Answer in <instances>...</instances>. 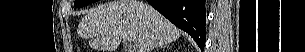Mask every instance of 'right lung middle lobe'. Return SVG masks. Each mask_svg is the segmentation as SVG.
Returning <instances> with one entry per match:
<instances>
[{
	"label": "right lung middle lobe",
	"mask_w": 305,
	"mask_h": 52,
	"mask_svg": "<svg viewBox=\"0 0 305 52\" xmlns=\"http://www.w3.org/2000/svg\"><path fill=\"white\" fill-rule=\"evenodd\" d=\"M95 1H97V0H76V1L74 2V6H75L76 8H79V7L86 6V5L90 4V3H93V2H95Z\"/></svg>",
	"instance_id": "right-lung-middle-lobe-1"
}]
</instances>
